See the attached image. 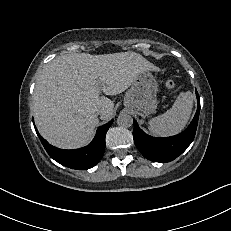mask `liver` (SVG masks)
Returning <instances> with one entry per match:
<instances>
[{"label":"liver","instance_id":"obj_1","mask_svg":"<svg viewBox=\"0 0 231 231\" xmlns=\"http://www.w3.org/2000/svg\"><path fill=\"white\" fill-rule=\"evenodd\" d=\"M144 71H159L142 55L127 51L60 55L46 64L36 82L33 115L40 134L52 145L75 149L87 145L99 123L113 115L105 96L124 92Z\"/></svg>","mask_w":231,"mask_h":231}]
</instances>
